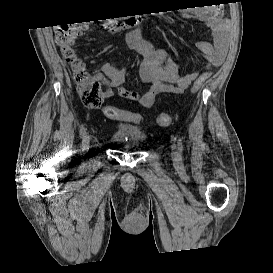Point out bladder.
Listing matches in <instances>:
<instances>
[{"label": "bladder", "mask_w": 273, "mask_h": 273, "mask_svg": "<svg viewBox=\"0 0 273 273\" xmlns=\"http://www.w3.org/2000/svg\"><path fill=\"white\" fill-rule=\"evenodd\" d=\"M112 143L124 149H136L145 143V134L136 126L131 124H120L112 133Z\"/></svg>", "instance_id": "bladder-1"}]
</instances>
